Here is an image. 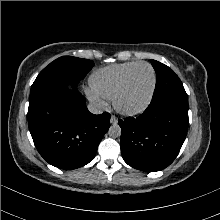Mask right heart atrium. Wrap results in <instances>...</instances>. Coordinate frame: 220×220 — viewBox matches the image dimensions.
<instances>
[{"label": "right heart atrium", "instance_id": "1", "mask_svg": "<svg viewBox=\"0 0 220 220\" xmlns=\"http://www.w3.org/2000/svg\"><path fill=\"white\" fill-rule=\"evenodd\" d=\"M88 98L95 103L102 104V98L97 95L94 91H88Z\"/></svg>", "mask_w": 220, "mask_h": 220}]
</instances>
